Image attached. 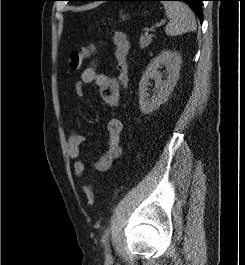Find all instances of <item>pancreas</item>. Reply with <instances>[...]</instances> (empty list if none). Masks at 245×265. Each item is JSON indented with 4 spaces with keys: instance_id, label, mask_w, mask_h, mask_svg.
<instances>
[{
    "instance_id": "cf45deb5",
    "label": "pancreas",
    "mask_w": 245,
    "mask_h": 265,
    "mask_svg": "<svg viewBox=\"0 0 245 265\" xmlns=\"http://www.w3.org/2000/svg\"><path fill=\"white\" fill-rule=\"evenodd\" d=\"M152 35H141L139 39V47L141 49L146 48L152 41Z\"/></svg>"
}]
</instances>
